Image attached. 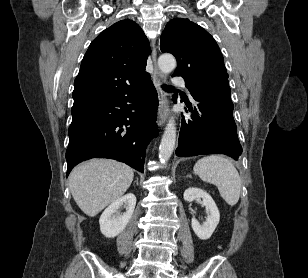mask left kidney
Wrapping results in <instances>:
<instances>
[{
	"label": "left kidney",
	"instance_id": "obj_1",
	"mask_svg": "<svg viewBox=\"0 0 308 278\" xmlns=\"http://www.w3.org/2000/svg\"><path fill=\"white\" fill-rule=\"evenodd\" d=\"M184 200L187 202H192L195 199L202 198V204L206 208L207 218L203 224H200L195 218L191 220V226L195 234L201 240H207L211 237L214 230L216 229L219 220L220 213L219 210L212 199V197L205 191L198 188H189L184 192Z\"/></svg>",
	"mask_w": 308,
	"mask_h": 278
}]
</instances>
